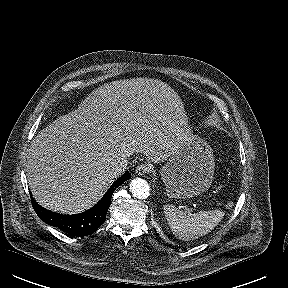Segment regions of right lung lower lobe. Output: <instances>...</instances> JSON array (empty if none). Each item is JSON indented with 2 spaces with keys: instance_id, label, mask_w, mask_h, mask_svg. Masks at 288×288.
<instances>
[{
  "instance_id": "obj_1",
  "label": "right lung lower lobe",
  "mask_w": 288,
  "mask_h": 288,
  "mask_svg": "<svg viewBox=\"0 0 288 288\" xmlns=\"http://www.w3.org/2000/svg\"><path fill=\"white\" fill-rule=\"evenodd\" d=\"M129 178H131V175L126 171L111 185L96 206L81 214L62 215L51 212L40 206L31 196L32 206L42 221L59 228L67 234L80 237L90 235L105 221L106 213L111 205V198L115 189Z\"/></svg>"
}]
</instances>
